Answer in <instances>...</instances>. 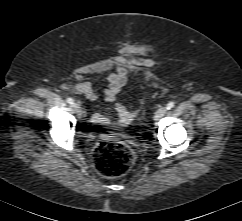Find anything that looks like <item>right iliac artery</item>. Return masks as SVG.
<instances>
[{
  "label": "right iliac artery",
  "mask_w": 242,
  "mask_h": 221,
  "mask_svg": "<svg viewBox=\"0 0 242 221\" xmlns=\"http://www.w3.org/2000/svg\"><path fill=\"white\" fill-rule=\"evenodd\" d=\"M67 103L68 104H74V100L72 98H67Z\"/></svg>",
  "instance_id": "1"
}]
</instances>
